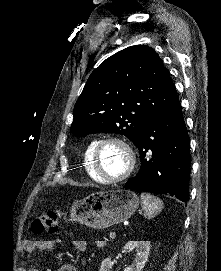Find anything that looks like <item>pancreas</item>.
I'll return each instance as SVG.
<instances>
[{"label":"pancreas","instance_id":"1","mask_svg":"<svg viewBox=\"0 0 221 271\" xmlns=\"http://www.w3.org/2000/svg\"><path fill=\"white\" fill-rule=\"evenodd\" d=\"M110 243L109 239H96L95 240V247H108V244Z\"/></svg>","mask_w":221,"mask_h":271}]
</instances>
